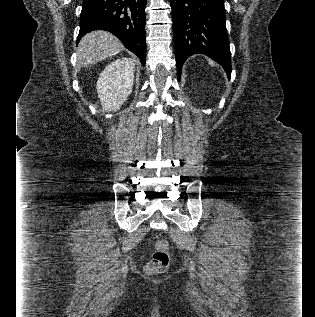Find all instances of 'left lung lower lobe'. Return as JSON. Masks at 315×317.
I'll return each instance as SVG.
<instances>
[{"label": "left lung lower lobe", "instance_id": "left-lung-lower-lobe-1", "mask_svg": "<svg viewBox=\"0 0 315 317\" xmlns=\"http://www.w3.org/2000/svg\"><path fill=\"white\" fill-rule=\"evenodd\" d=\"M176 64L201 53L218 62L230 78L232 66L225 23L224 0H170Z\"/></svg>", "mask_w": 315, "mask_h": 317}]
</instances>
